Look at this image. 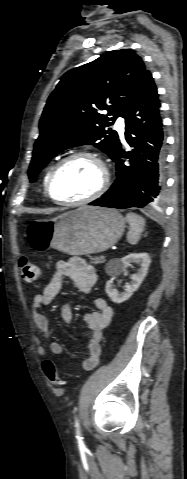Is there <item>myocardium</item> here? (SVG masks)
<instances>
[{
    "label": "myocardium",
    "instance_id": "f54148a6",
    "mask_svg": "<svg viewBox=\"0 0 187 479\" xmlns=\"http://www.w3.org/2000/svg\"><path fill=\"white\" fill-rule=\"evenodd\" d=\"M77 158H88L97 163V165L100 167L102 172V179H101L100 185L92 194L82 199L71 200V201L59 200L52 193V182H53L54 176L63 165ZM109 183H110V174L103 160L97 154L93 152L81 150V151L73 152L63 157L50 169L47 175V179H46V183L44 187V193L54 203L65 205V206H78V205L91 203L97 200L98 198H100L107 191L109 187Z\"/></svg>",
    "mask_w": 187,
    "mask_h": 479
}]
</instances>
